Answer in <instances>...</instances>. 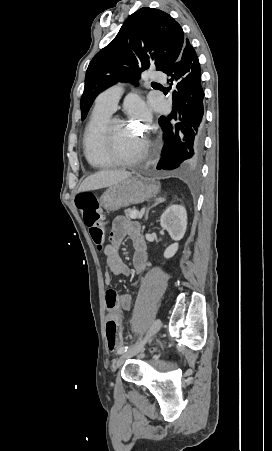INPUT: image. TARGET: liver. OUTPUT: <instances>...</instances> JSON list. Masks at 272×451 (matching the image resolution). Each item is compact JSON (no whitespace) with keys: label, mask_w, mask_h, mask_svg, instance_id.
Listing matches in <instances>:
<instances>
[{"label":"liver","mask_w":272,"mask_h":451,"mask_svg":"<svg viewBox=\"0 0 272 451\" xmlns=\"http://www.w3.org/2000/svg\"><path fill=\"white\" fill-rule=\"evenodd\" d=\"M130 176L131 172H126V170H102V172H96V174H92V176L85 178L78 192L107 188V186L118 184V182H122L125 178H130Z\"/></svg>","instance_id":"1"}]
</instances>
